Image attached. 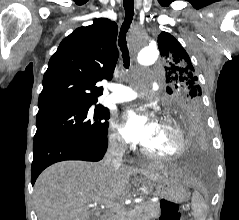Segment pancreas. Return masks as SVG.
I'll return each instance as SVG.
<instances>
[{
  "label": "pancreas",
  "mask_w": 239,
  "mask_h": 220,
  "mask_svg": "<svg viewBox=\"0 0 239 220\" xmlns=\"http://www.w3.org/2000/svg\"><path fill=\"white\" fill-rule=\"evenodd\" d=\"M130 214L133 216V220H151L160 215V204L157 202H146L136 205Z\"/></svg>",
  "instance_id": "1"
}]
</instances>
